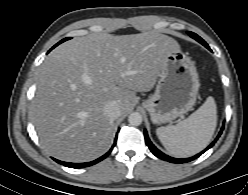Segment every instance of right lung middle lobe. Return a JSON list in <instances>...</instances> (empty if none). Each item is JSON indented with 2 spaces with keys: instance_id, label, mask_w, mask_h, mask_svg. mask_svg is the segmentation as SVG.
<instances>
[{
  "instance_id": "dd1d6c3e",
  "label": "right lung middle lobe",
  "mask_w": 248,
  "mask_h": 195,
  "mask_svg": "<svg viewBox=\"0 0 248 195\" xmlns=\"http://www.w3.org/2000/svg\"><path fill=\"white\" fill-rule=\"evenodd\" d=\"M68 39H71V38H65V39H63V40H61L60 42H58L54 47H56L57 45H59L60 43H62V42H64V41H66V40H68Z\"/></svg>"
}]
</instances>
